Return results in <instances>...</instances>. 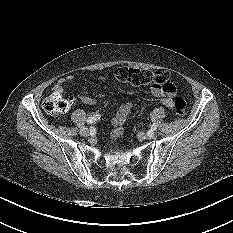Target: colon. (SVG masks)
Wrapping results in <instances>:
<instances>
[{"instance_id": "colon-1", "label": "colon", "mask_w": 233, "mask_h": 233, "mask_svg": "<svg viewBox=\"0 0 233 233\" xmlns=\"http://www.w3.org/2000/svg\"><path fill=\"white\" fill-rule=\"evenodd\" d=\"M114 76L117 80L129 83L134 86L149 85L158 87L171 95L173 109L178 115H184L186 110L185 101L175 96V86L168 81V74L163 71L153 72L127 66L119 67L115 70ZM72 99H65L62 95L52 93L43 101L44 111L51 116H58L65 113L71 104Z\"/></svg>"}]
</instances>
